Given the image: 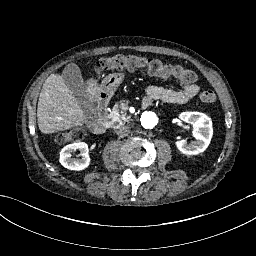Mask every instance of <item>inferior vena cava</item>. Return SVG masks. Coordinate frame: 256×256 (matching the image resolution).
<instances>
[{"label": "inferior vena cava", "mask_w": 256, "mask_h": 256, "mask_svg": "<svg viewBox=\"0 0 256 256\" xmlns=\"http://www.w3.org/2000/svg\"><path fill=\"white\" fill-rule=\"evenodd\" d=\"M129 133H130V127H129V126H119V127L116 129V134H117L119 137H125V136H127Z\"/></svg>", "instance_id": "inferior-vena-cava-1"}]
</instances>
